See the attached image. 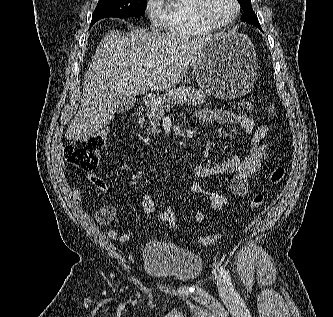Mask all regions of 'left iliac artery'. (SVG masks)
Instances as JSON below:
<instances>
[{
  "mask_svg": "<svg viewBox=\"0 0 333 317\" xmlns=\"http://www.w3.org/2000/svg\"><path fill=\"white\" fill-rule=\"evenodd\" d=\"M219 272H220V274H221V276H222V278H223L226 286L228 287L229 291L231 292V294L232 295H237V292L234 289L231 277L228 274V272L223 267H220Z\"/></svg>",
  "mask_w": 333,
  "mask_h": 317,
  "instance_id": "1",
  "label": "left iliac artery"
}]
</instances>
